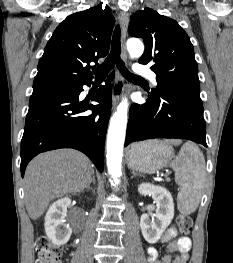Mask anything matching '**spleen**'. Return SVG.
I'll list each match as a JSON object with an SVG mask.
<instances>
[{
	"mask_svg": "<svg viewBox=\"0 0 233 263\" xmlns=\"http://www.w3.org/2000/svg\"><path fill=\"white\" fill-rule=\"evenodd\" d=\"M166 143L179 145L181 140H166ZM175 171V182L180 186L177 196L178 210L185 215L193 213L202 196L206 179V166L203 153L193 142H186L170 164Z\"/></svg>",
	"mask_w": 233,
	"mask_h": 263,
	"instance_id": "3e777b00",
	"label": "spleen"
}]
</instances>
